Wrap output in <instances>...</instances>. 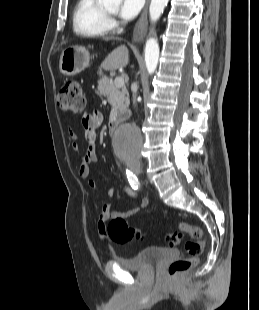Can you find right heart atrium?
I'll list each match as a JSON object with an SVG mask.
<instances>
[{"instance_id":"d8ad5b80","label":"right heart atrium","mask_w":259,"mask_h":310,"mask_svg":"<svg viewBox=\"0 0 259 310\" xmlns=\"http://www.w3.org/2000/svg\"><path fill=\"white\" fill-rule=\"evenodd\" d=\"M109 25H110V28L115 27V25H116L115 20H114V19H112V18H110V19H109Z\"/></svg>"}]
</instances>
